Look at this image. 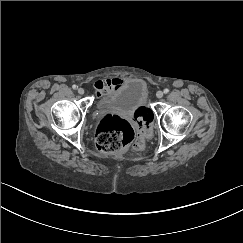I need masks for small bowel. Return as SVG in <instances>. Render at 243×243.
Listing matches in <instances>:
<instances>
[{
  "label": "small bowel",
  "mask_w": 243,
  "mask_h": 243,
  "mask_svg": "<svg viewBox=\"0 0 243 243\" xmlns=\"http://www.w3.org/2000/svg\"><path fill=\"white\" fill-rule=\"evenodd\" d=\"M124 80L120 78H111L106 80H98L94 83V88L98 96H105L118 88Z\"/></svg>",
  "instance_id": "obj_1"
}]
</instances>
